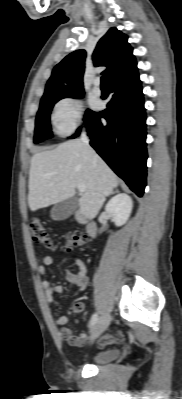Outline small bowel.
<instances>
[{"mask_svg":"<svg viewBox=\"0 0 182 399\" xmlns=\"http://www.w3.org/2000/svg\"><path fill=\"white\" fill-rule=\"evenodd\" d=\"M72 260L76 264L78 271L76 273L68 271L66 273V280L78 288L79 290H84L87 286V278L86 272L87 267L84 261L77 257L73 256ZM55 262V257L52 255H46L43 258V264L38 267V271L41 275L46 274V267L52 265ZM69 263V258H63L59 265L61 267L67 265ZM42 287L44 289L45 300L48 304H53L54 295L61 294L63 292V286L59 284H54L50 279L42 280ZM76 313H81L84 309L83 303H76L73 307ZM68 324V318L66 316H60L55 320V325L61 327L60 334L65 339V341L71 346H82L87 340L88 336L85 333H81L75 335L71 329H69L66 325ZM115 337L112 334H107L103 338H101L98 342L99 346L103 347L108 343L112 342Z\"/></svg>","mask_w":182,"mask_h":399,"instance_id":"small-bowel-1","label":"small bowel"}]
</instances>
